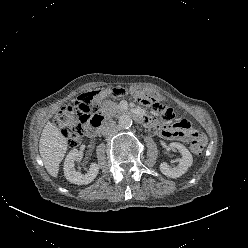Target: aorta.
<instances>
[{"label": "aorta", "mask_w": 248, "mask_h": 248, "mask_svg": "<svg viewBox=\"0 0 248 248\" xmlns=\"http://www.w3.org/2000/svg\"><path fill=\"white\" fill-rule=\"evenodd\" d=\"M119 125L122 128H130L132 126V119L128 115H122L119 117Z\"/></svg>", "instance_id": "1"}]
</instances>
